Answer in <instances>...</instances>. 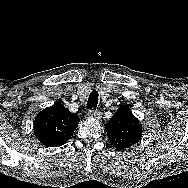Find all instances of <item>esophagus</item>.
I'll use <instances>...</instances> for the list:
<instances>
[{
	"mask_svg": "<svg viewBox=\"0 0 188 188\" xmlns=\"http://www.w3.org/2000/svg\"><path fill=\"white\" fill-rule=\"evenodd\" d=\"M88 116L92 118H99L100 112L98 110L91 109L88 111Z\"/></svg>",
	"mask_w": 188,
	"mask_h": 188,
	"instance_id": "obj_1",
	"label": "esophagus"
}]
</instances>
